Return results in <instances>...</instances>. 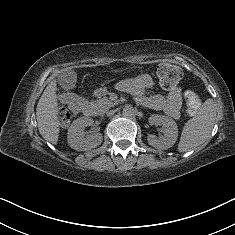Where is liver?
I'll return each mask as SVG.
<instances>
[{
	"label": "liver",
	"instance_id": "obj_1",
	"mask_svg": "<svg viewBox=\"0 0 235 235\" xmlns=\"http://www.w3.org/2000/svg\"><path fill=\"white\" fill-rule=\"evenodd\" d=\"M55 85H48L41 95L37 107L36 115L40 134L48 140H57V129L52 126L51 120L54 117L55 108Z\"/></svg>",
	"mask_w": 235,
	"mask_h": 235
}]
</instances>
